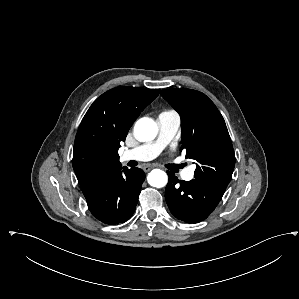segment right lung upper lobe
Instances as JSON below:
<instances>
[{
  "instance_id": "cb5924a9",
  "label": "right lung upper lobe",
  "mask_w": 299,
  "mask_h": 299,
  "mask_svg": "<svg viewBox=\"0 0 299 299\" xmlns=\"http://www.w3.org/2000/svg\"><path fill=\"white\" fill-rule=\"evenodd\" d=\"M160 89L113 88L91 105L79 126L73 169L87 194L109 171L120 168L118 149L139 114L159 94Z\"/></svg>"
}]
</instances>
